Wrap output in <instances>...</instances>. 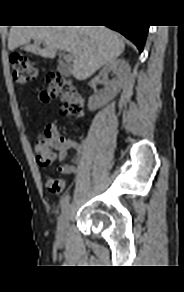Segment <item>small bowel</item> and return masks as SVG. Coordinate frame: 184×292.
Listing matches in <instances>:
<instances>
[{"mask_svg":"<svg viewBox=\"0 0 184 292\" xmlns=\"http://www.w3.org/2000/svg\"><path fill=\"white\" fill-rule=\"evenodd\" d=\"M51 144L56 151V156L61 164L58 167L62 174L70 175L76 173L83 163V145L73 139L61 135L55 128H53L51 135ZM73 149L71 162H65L67 151Z\"/></svg>","mask_w":184,"mask_h":292,"instance_id":"obj_1","label":"small bowel"}]
</instances>
